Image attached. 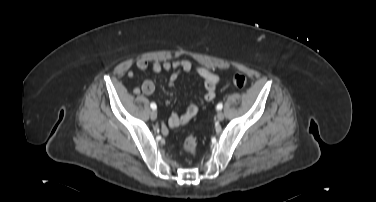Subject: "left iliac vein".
Instances as JSON below:
<instances>
[{
  "mask_svg": "<svg viewBox=\"0 0 376 202\" xmlns=\"http://www.w3.org/2000/svg\"><path fill=\"white\" fill-rule=\"evenodd\" d=\"M217 119L218 121H222L224 119V113L222 111L217 113Z\"/></svg>",
  "mask_w": 376,
  "mask_h": 202,
  "instance_id": "4c4485c4",
  "label": "left iliac vein"
}]
</instances>
